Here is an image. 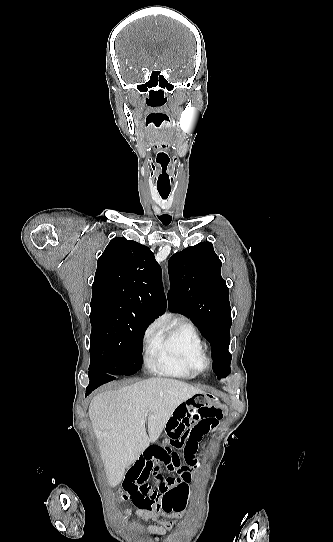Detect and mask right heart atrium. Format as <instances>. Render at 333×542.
<instances>
[{
  "label": "right heart atrium",
  "instance_id": "right-heart-atrium-1",
  "mask_svg": "<svg viewBox=\"0 0 333 542\" xmlns=\"http://www.w3.org/2000/svg\"><path fill=\"white\" fill-rule=\"evenodd\" d=\"M156 332L153 327L148 328V330L145 333L146 340L150 341L155 338Z\"/></svg>",
  "mask_w": 333,
  "mask_h": 542
}]
</instances>
